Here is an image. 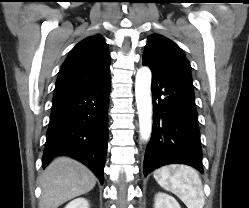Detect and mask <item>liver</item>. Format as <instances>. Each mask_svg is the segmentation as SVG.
I'll return each instance as SVG.
<instances>
[{
    "label": "liver",
    "instance_id": "1",
    "mask_svg": "<svg viewBox=\"0 0 249 208\" xmlns=\"http://www.w3.org/2000/svg\"><path fill=\"white\" fill-rule=\"evenodd\" d=\"M96 180L95 175L82 163L70 157H56L39 179L42 191L39 208H58L91 191Z\"/></svg>",
    "mask_w": 249,
    "mask_h": 208
}]
</instances>
